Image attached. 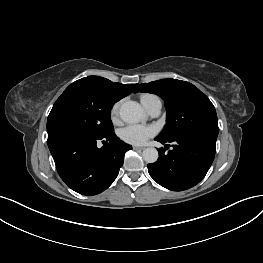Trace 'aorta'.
Instances as JSON below:
<instances>
[{"instance_id":"aorta-1","label":"aorta","mask_w":263,"mask_h":263,"mask_svg":"<svg viewBox=\"0 0 263 263\" xmlns=\"http://www.w3.org/2000/svg\"><path fill=\"white\" fill-rule=\"evenodd\" d=\"M120 118L126 123H137L145 118L141 105L135 101L124 102L119 110ZM143 159L147 163H155L159 157L156 148H146L143 150Z\"/></svg>"}]
</instances>
